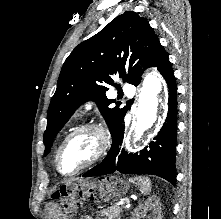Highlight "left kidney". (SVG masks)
<instances>
[{"instance_id":"1","label":"left kidney","mask_w":221,"mask_h":219,"mask_svg":"<svg viewBox=\"0 0 221 219\" xmlns=\"http://www.w3.org/2000/svg\"><path fill=\"white\" fill-rule=\"evenodd\" d=\"M152 212L151 219H162V211L159 199L155 196L148 198L143 204H140L132 215L131 219H141L147 212Z\"/></svg>"}]
</instances>
